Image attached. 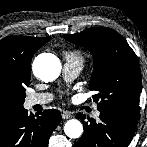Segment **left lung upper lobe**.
<instances>
[{"label": "left lung upper lobe", "mask_w": 147, "mask_h": 147, "mask_svg": "<svg viewBox=\"0 0 147 147\" xmlns=\"http://www.w3.org/2000/svg\"><path fill=\"white\" fill-rule=\"evenodd\" d=\"M63 37L89 49L94 57L89 89L100 112L111 113L137 126L141 71L138 58L116 31L96 27Z\"/></svg>", "instance_id": "1"}]
</instances>
